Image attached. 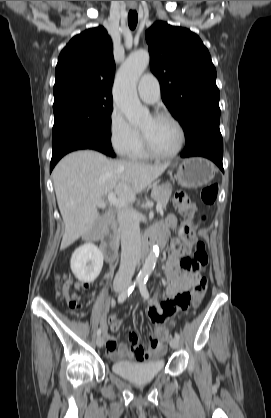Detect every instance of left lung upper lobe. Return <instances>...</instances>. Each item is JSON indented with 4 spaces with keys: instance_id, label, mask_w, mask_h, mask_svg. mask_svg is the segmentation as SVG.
<instances>
[{
    "instance_id": "1",
    "label": "left lung upper lobe",
    "mask_w": 271,
    "mask_h": 418,
    "mask_svg": "<svg viewBox=\"0 0 271 418\" xmlns=\"http://www.w3.org/2000/svg\"><path fill=\"white\" fill-rule=\"evenodd\" d=\"M146 41L162 100L183 127L186 141L200 130L219 128L216 69L201 39L158 21L147 30Z\"/></svg>"
}]
</instances>
